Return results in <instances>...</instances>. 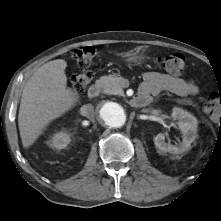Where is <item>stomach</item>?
<instances>
[{"instance_id":"stomach-1","label":"stomach","mask_w":221,"mask_h":221,"mask_svg":"<svg viewBox=\"0 0 221 221\" xmlns=\"http://www.w3.org/2000/svg\"><path fill=\"white\" fill-rule=\"evenodd\" d=\"M126 62L130 65H139L145 60L144 53L139 49H132L124 54Z\"/></svg>"}]
</instances>
